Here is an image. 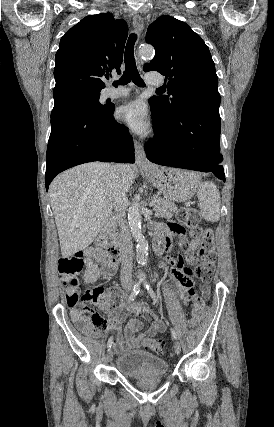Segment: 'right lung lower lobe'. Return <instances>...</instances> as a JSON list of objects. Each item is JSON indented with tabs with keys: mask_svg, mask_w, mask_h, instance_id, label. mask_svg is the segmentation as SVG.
<instances>
[{
	"mask_svg": "<svg viewBox=\"0 0 274 427\" xmlns=\"http://www.w3.org/2000/svg\"><path fill=\"white\" fill-rule=\"evenodd\" d=\"M115 107H83L51 119L46 153L48 190L60 172L92 161L134 163V145L128 129L113 118Z\"/></svg>",
	"mask_w": 274,
	"mask_h": 427,
	"instance_id": "obj_1",
	"label": "right lung lower lobe"
}]
</instances>
